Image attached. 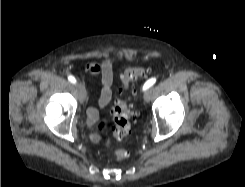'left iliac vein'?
I'll return each mask as SVG.
<instances>
[{
  "mask_svg": "<svg viewBox=\"0 0 245 187\" xmlns=\"http://www.w3.org/2000/svg\"><path fill=\"white\" fill-rule=\"evenodd\" d=\"M150 95H151L150 90H146V91L144 92L143 97H144V100H145L146 102H148V101L150 100Z\"/></svg>",
  "mask_w": 245,
  "mask_h": 187,
  "instance_id": "left-iliac-vein-1",
  "label": "left iliac vein"
}]
</instances>
